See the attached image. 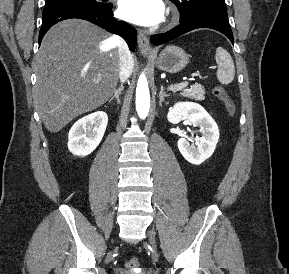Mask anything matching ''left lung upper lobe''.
Here are the masks:
<instances>
[{
  "instance_id": "1",
  "label": "left lung upper lobe",
  "mask_w": 289,
  "mask_h": 274,
  "mask_svg": "<svg viewBox=\"0 0 289 274\" xmlns=\"http://www.w3.org/2000/svg\"><path fill=\"white\" fill-rule=\"evenodd\" d=\"M178 8L180 22L203 13L227 14L225 0H170Z\"/></svg>"
}]
</instances>
